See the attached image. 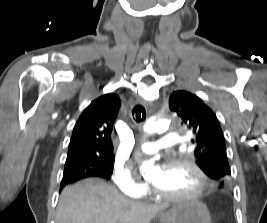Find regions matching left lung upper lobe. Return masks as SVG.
I'll return each instance as SVG.
<instances>
[{
  "label": "left lung upper lobe",
  "mask_w": 267,
  "mask_h": 223,
  "mask_svg": "<svg viewBox=\"0 0 267 223\" xmlns=\"http://www.w3.org/2000/svg\"><path fill=\"white\" fill-rule=\"evenodd\" d=\"M169 106L193 132L197 165L211 179L226 182L231 175L222 129L213 111L187 91L173 92Z\"/></svg>",
  "instance_id": "obj_1"
}]
</instances>
